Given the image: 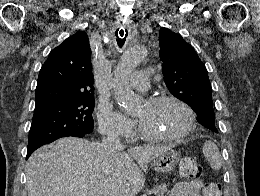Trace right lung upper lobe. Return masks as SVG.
Instances as JSON below:
<instances>
[{"mask_svg": "<svg viewBox=\"0 0 260 196\" xmlns=\"http://www.w3.org/2000/svg\"><path fill=\"white\" fill-rule=\"evenodd\" d=\"M91 68L89 40L79 31L50 52L39 73L35 106L61 96L94 93Z\"/></svg>", "mask_w": 260, "mask_h": 196, "instance_id": "obj_1", "label": "right lung upper lobe"}]
</instances>
